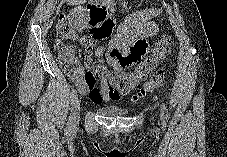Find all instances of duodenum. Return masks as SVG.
Instances as JSON below:
<instances>
[{
	"instance_id": "duodenum-1",
	"label": "duodenum",
	"mask_w": 227,
	"mask_h": 157,
	"mask_svg": "<svg viewBox=\"0 0 227 157\" xmlns=\"http://www.w3.org/2000/svg\"><path fill=\"white\" fill-rule=\"evenodd\" d=\"M88 9H96V12L102 16H89L86 21L87 25H96L93 32H108V30H116L117 26L113 25L111 18L107 17L103 4H88Z\"/></svg>"
}]
</instances>
